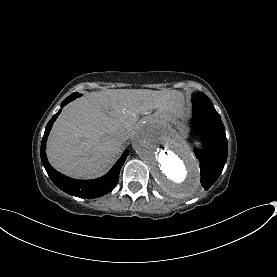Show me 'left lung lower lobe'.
I'll return each mask as SVG.
<instances>
[{"mask_svg": "<svg viewBox=\"0 0 277 277\" xmlns=\"http://www.w3.org/2000/svg\"><path fill=\"white\" fill-rule=\"evenodd\" d=\"M193 126L201 136L204 149H195L200 161L201 184L205 190L220 176L228 153V143L221 117L214 107L193 105Z\"/></svg>", "mask_w": 277, "mask_h": 277, "instance_id": "1", "label": "left lung lower lobe"}]
</instances>
